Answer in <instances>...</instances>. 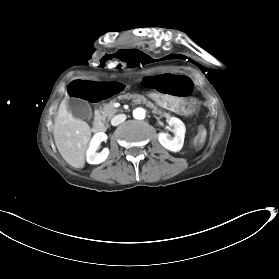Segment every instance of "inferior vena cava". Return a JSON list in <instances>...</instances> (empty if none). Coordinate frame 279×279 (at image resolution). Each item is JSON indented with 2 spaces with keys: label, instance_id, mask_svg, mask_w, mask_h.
Wrapping results in <instances>:
<instances>
[{
  "label": "inferior vena cava",
  "instance_id": "inferior-vena-cava-1",
  "mask_svg": "<svg viewBox=\"0 0 279 279\" xmlns=\"http://www.w3.org/2000/svg\"><path fill=\"white\" fill-rule=\"evenodd\" d=\"M125 119H126V117L124 114L117 115L111 120V124L113 126H116V125L120 124L121 122H124Z\"/></svg>",
  "mask_w": 279,
  "mask_h": 279
}]
</instances>
